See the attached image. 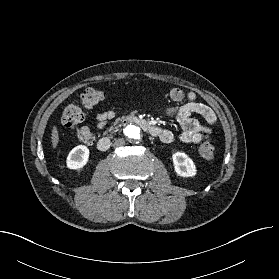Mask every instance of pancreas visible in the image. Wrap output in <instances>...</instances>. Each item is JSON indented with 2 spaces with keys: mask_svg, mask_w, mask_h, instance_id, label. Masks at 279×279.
I'll return each instance as SVG.
<instances>
[{
  "mask_svg": "<svg viewBox=\"0 0 279 279\" xmlns=\"http://www.w3.org/2000/svg\"><path fill=\"white\" fill-rule=\"evenodd\" d=\"M117 128H118L117 122H115V123L113 124V126H111V127L108 129V131H109L110 133H114V132H115V129H117Z\"/></svg>",
  "mask_w": 279,
  "mask_h": 279,
  "instance_id": "cf45deb5",
  "label": "pancreas"
}]
</instances>
